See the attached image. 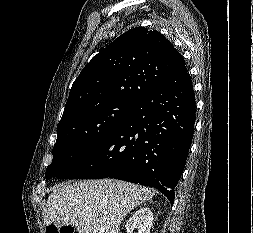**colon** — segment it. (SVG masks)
<instances>
[{
	"label": "colon",
	"mask_w": 253,
	"mask_h": 233,
	"mask_svg": "<svg viewBox=\"0 0 253 233\" xmlns=\"http://www.w3.org/2000/svg\"><path fill=\"white\" fill-rule=\"evenodd\" d=\"M47 233H78L75 231V229L72 226L69 225H50L47 228Z\"/></svg>",
	"instance_id": "colon-1"
}]
</instances>
